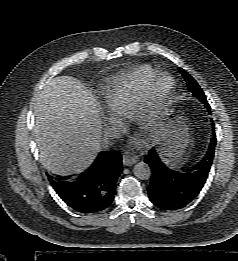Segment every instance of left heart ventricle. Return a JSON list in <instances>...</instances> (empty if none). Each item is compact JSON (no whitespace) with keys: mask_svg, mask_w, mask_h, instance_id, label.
I'll use <instances>...</instances> for the list:
<instances>
[{"mask_svg":"<svg viewBox=\"0 0 238 261\" xmlns=\"http://www.w3.org/2000/svg\"><path fill=\"white\" fill-rule=\"evenodd\" d=\"M169 86V80L167 78H161L155 86V94H162Z\"/></svg>","mask_w":238,"mask_h":261,"instance_id":"1","label":"left heart ventricle"}]
</instances>
